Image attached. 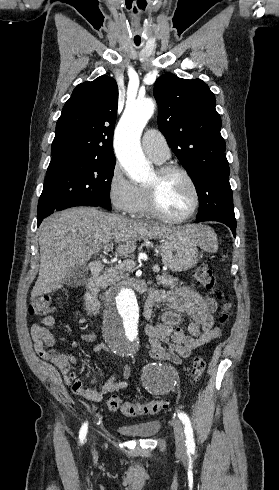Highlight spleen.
Returning a JSON list of instances; mask_svg holds the SVG:
<instances>
[{
  "label": "spleen",
  "instance_id": "1",
  "mask_svg": "<svg viewBox=\"0 0 279 490\" xmlns=\"http://www.w3.org/2000/svg\"><path fill=\"white\" fill-rule=\"evenodd\" d=\"M198 246H200L204 252H213V254L214 252H217L218 242L212 228L204 226Z\"/></svg>",
  "mask_w": 279,
  "mask_h": 490
}]
</instances>
